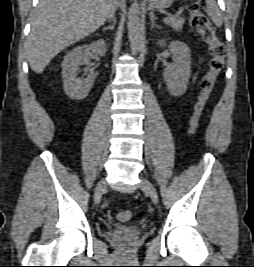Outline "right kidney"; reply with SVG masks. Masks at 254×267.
I'll return each mask as SVG.
<instances>
[{"label":"right kidney","mask_w":254,"mask_h":267,"mask_svg":"<svg viewBox=\"0 0 254 267\" xmlns=\"http://www.w3.org/2000/svg\"><path fill=\"white\" fill-rule=\"evenodd\" d=\"M107 45L103 39L94 41L90 45H81L69 51L62 63L63 87L66 95L73 100L86 98L93 87L95 74L85 68V79L76 78L81 65L88 64L89 56L93 53L104 56Z\"/></svg>","instance_id":"ca27d5eb"}]
</instances>
